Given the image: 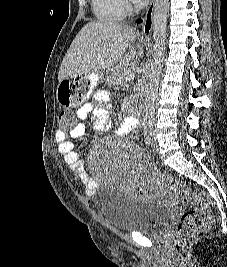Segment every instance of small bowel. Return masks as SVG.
<instances>
[{
	"instance_id": "obj_1",
	"label": "small bowel",
	"mask_w": 227,
	"mask_h": 267,
	"mask_svg": "<svg viewBox=\"0 0 227 267\" xmlns=\"http://www.w3.org/2000/svg\"><path fill=\"white\" fill-rule=\"evenodd\" d=\"M106 96L103 92L96 95L97 107L93 105H84L76 110V122L71 126L70 130H57L55 140L58 144L59 152L64 157L65 162L70 166L75 178L82 184L85 194L89 197L95 195L97 191V181L91 177L85 169L84 162L79 158L78 153L74 150L71 139L81 138L85 133V124L90 117L94 118L95 126L99 130H107L109 125L106 121V108L104 106ZM139 125L136 117H126L117 130L119 135L134 134ZM149 187H142V195L149 194Z\"/></svg>"
}]
</instances>
